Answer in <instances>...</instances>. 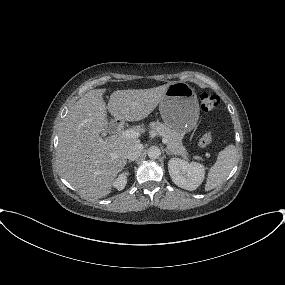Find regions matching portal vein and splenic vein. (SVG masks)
I'll list each match as a JSON object with an SVG mask.
<instances>
[{
  "instance_id": "1",
  "label": "portal vein and splenic vein",
  "mask_w": 285,
  "mask_h": 285,
  "mask_svg": "<svg viewBox=\"0 0 285 285\" xmlns=\"http://www.w3.org/2000/svg\"><path fill=\"white\" fill-rule=\"evenodd\" d=\"M119 136L121 138H127V139H136L140 136V132L134 128H129L127 130H123L119 133ZM162 142L164 144H167V140L165 138L162 139Z\"/></svg>"
}]
</instances>
